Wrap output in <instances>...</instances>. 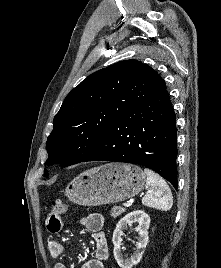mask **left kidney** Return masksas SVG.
Wrapping results in <instances>:
<instances>
[{
	"mask_svg": "<svg viewBox=\"0 0 221 268\" xmlns=\"http://www.w3.org/2000/svg\"><path fill=\"white\" fill-rule=\"evenodd\" d=\"M132 224H136L137 227L135 231L138 232L139 237L136 243V250L133 255L129 259H124L122 250H121V242L123 235V230ZM150 226V217L144 211L137 210L128 213L125 217H123L113 232L112 242L114 244V257L117 261L118 265L121 268H132L134 265L138 264L142 258L144 253V249L148 243V229Z\"/></svg>",
	"mask_w": 221,
	"mask_h": 268,
	"instance_id": "5707ae66",
	"label": "left kidney"
}]
</instances>
